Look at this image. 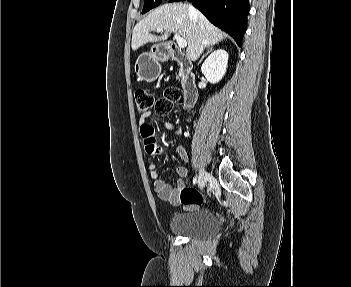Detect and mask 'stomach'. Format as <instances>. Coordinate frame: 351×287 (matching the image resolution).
<instances>
[{
  "label": "stomach",
  "mask_w": 351,
  "mask_h": 287,
  "mask_svg": "<svg viewBox=\"0 0 351 287\" xmlns=\"http://www.w3.org/2000/svg\"><path fill=\"white\" fill-rule=\"evenodd\" d=\"M168 54L160 45H155L150 52L142 53L136 60L134 70L140 80L152 82L161 73L160 61L166 59Z\"/></svg>",
  "instance_id": "1"
}]
</instances>
